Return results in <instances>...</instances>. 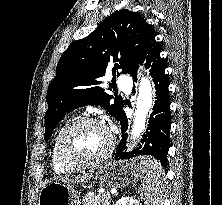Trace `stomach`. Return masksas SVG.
I'll use <instances>...</instances> for the list:
<instances>
[{"mask_svg": "<svg viewBox=\"0 0 222 205\" xmlns=\"http://www.w3.org/2000/svg\"><path fill=\"white\" fill-rule=\"evenodd\" d=\"M139 164L140 159L109 162L95 171V179L103 187H126L141 175ZM38 205H80V200L73 186L53 181L40 191Z\"/></svg>", "mask_w": 222, "mask_h": 205, "instance_id": "stomach-1", "label": "stomach"}]
</instances>
